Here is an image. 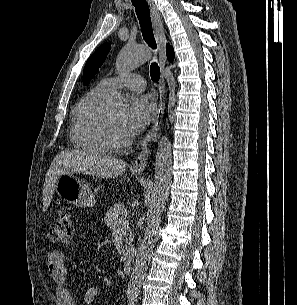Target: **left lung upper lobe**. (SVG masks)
Instances as JSON below:
<instances>
[{
  "mask_svg": "<svg viewBox=\"0 0 297 305\" xmlns=\"http://www.w3.org/2000/svg\"><path fill=\"white\" fill-rule=\"evenodd\" d=\"M110 48V44H104L100 46L87 60L83 71V83L85 85H87L93 76L97 73L99 67L105 61Z\"/></svg>",
  "mask_w": 297,
  "mask_h": 305,
  "instance_id": "1",
  "label": "left lung upper lobe"
}]
</instances>
